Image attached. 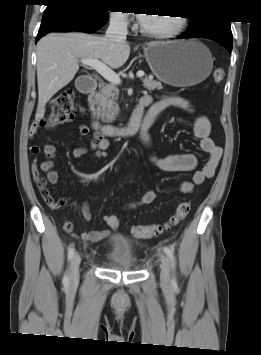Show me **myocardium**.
Here are the masks:
<instances>
[{
	"mask_svg": "<svg viewBox=\"0 0 261 355\" xmlns=\"http://www.w3.org/2000/svg\"><path fill=\"white\" fill-rule=\"evenodd\" d=\"M177 18V25L174 29L169 30V31H151V30H147L145 29L142 25L140 26V32L147 36V37H151V38H155V39H171L174 38L176 36H178L183 29L185 28L186 25V18L184 16H176Z\"/></svg>",
	"mask_w": 261,
	"mask_h": 355,
	"instance_id": "obj_1",
	"label": "myocardium"
}]
</instances>
